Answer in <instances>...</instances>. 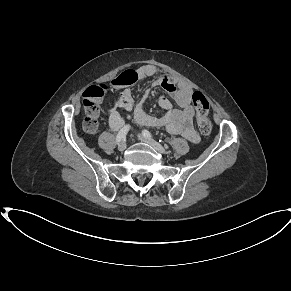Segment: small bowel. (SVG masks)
Returning <instances> with one entry per match:
<instances>
[{"mask_svg":"<svg viewBox=\"0 0 291 291\" xmlns=\"http://www.w3.org/2000/svg\"><path fill=\"white\" fill-rule=\"evenodd\" d=\"M154 75H158V77L154 80L153 86L163 88L175 100L179 109L172 107L169 98L161 96L158 98V105L163 110V115L160 117L152 116L143 108L135 109L131 90L124 88L114 104L106 110L110 129L117 131L125 124L126 119H132L143 126L165 128L171 134H180L190 142L197 143L199 136L192 124L194 117L192 87L186 82L162 73L158 67L151 64L143 65L137 70L139 79ZM117 108L123 109L127 113L126 117Z\"/></svg>","mask_w":291,"mask_h":291,"instance_id":"c3829d8e","label":"small bowel"}]
</instances>
